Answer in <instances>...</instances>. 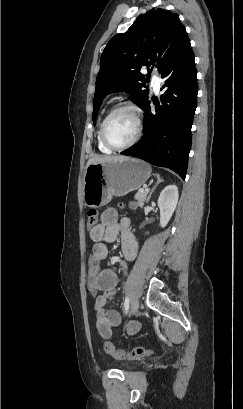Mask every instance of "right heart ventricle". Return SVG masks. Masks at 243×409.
Returning <instances> with one entry per match:
<instances>
[{"label": "right heart ventricle", "mask_w": 243, "mask_h": 409, "mask_svg": "<svg viewBox=\"0 0 243 409\" xmlns=\"http://www.w3.org/2000/svg\"><path fill=\"white\" fill-rule=\"evenodd\" d=\"M100 127H101V125H100ZM100 127L98 128L97 137H96V138H97L98 149H99L102 153L110 154V153H112V150L109 149L107 146H105L104 143H103L102 140H101Z\"/></svg>", "instance_id": "e07e8e85"}]
</instances>
